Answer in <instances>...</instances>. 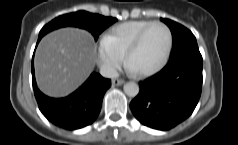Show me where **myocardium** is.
Instances as JSON below:
<instances>
[{
  "instance_id": "f54148a6",
  "label": "myocardium",
  "mask_w": 238,
  "mask_h": 145,
  "mask_svg": "<svg viewBox=\"0 0 238 145\" xmlns=\"http://www.w3.org/2000/svg\"><path fill=\"white\" fill-rule=\"evenodd\" d=\"M156 25L162 26L167 31V36H168L167 47H166V50H165L162 58L159 60V62L156 65H154L153 67H151L147 70H143V71H139V72L135 71V73L139 76H150V75H153L156 72H158L166 64V62L169 59V56L171 54V50H172V46H173V35H172V31H171L170 27L167 24H165L164 22L152 21L137 34L135 39L132 41V43L127 48V50L124 54L125 64L127 66H129L128 62H129V59H130L132 53L140 46V44H141L144 36L148 32V30L151 27L156 26Z\"/></svg>"
}]
</instances>
